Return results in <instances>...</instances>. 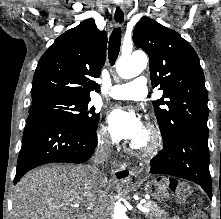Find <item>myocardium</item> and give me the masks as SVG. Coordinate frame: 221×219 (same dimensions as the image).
Returning <instances> with one entry per match:
<instances>
[{
  "instance_id": "f54148a6",
  "label": "myocardium",
  "mask_w": 221,
  "mask_h": 219,
  "mask_svg": "<svg viewBox=\"0 0 221 219\" xmlns=\"http://www.w3.org/2000/svg\"><path fill=\"white\" fill-rule=\"evenodd\" d=\"M143 133L145 137L143 144L129 142L126 145V149L137 156H150L155 154L162 144L160 130L153 124H147L143 129Z\"/></svg>"
}]
</instances>
